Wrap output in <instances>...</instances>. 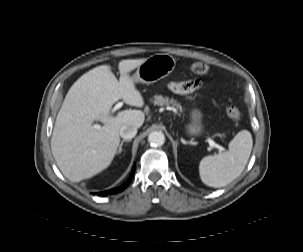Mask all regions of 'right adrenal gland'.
Segmentation results:
<instances>
[{"label": "right adrenal gland", "mask_w": 303, "mask_h": 252, "mask_svg": "<svg viewBox=\"0 0 303 252\" xmlns=\"http://www.w3.org/2000/svg\"><path fill=\"white\" fill-rule=\"evenodd\" d=\"M130 141H131V140H122L121 143H120V145H119L118 153H121L123 143H124V142H130Z\"/></svg>", "instance_id": "1"}]
</instances>
